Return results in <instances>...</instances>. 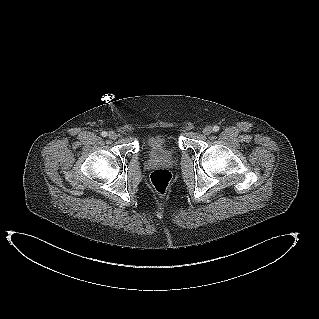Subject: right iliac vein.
<instances>
[{
	"mask_svg": "<svg viewBox=\"0 0 319 319\" xmlns=\"http://www.w3.org/2000/svg\"><path fill=\"white\" fill-rule=\"evenodd\" d=\"M108 137L112 140H115L117 138V134L114 131H110L108 133Z\"/></svg>",
	"mask_w": 319,
	"mask_h": 319,
	"instance_id": "63e3f726",
	"label": "right iliac vein"
}]
</instances>
